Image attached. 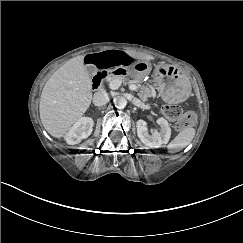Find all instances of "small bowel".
I'll return each mask as SVG.
<instances>
[{
  "mask_svg": "<svg viewBox=\"0 0 243 243\" xmlns=\"http://www.w3.org/2000/svg\"><path fill=\"white\" fill-rule=\"evenodd\" d=\"M84 61L99 68H118L132 65L134 57L125 51L105 50L87 55Z\"/></svg>",
  "mask_w": 243,
  "mask_h": 243,
  "instance_id": "1",
  "label": "small bowel"
}]
</instances>
